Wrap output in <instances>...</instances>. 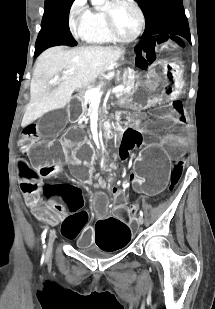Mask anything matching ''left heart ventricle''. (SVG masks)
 I'll return each instance as SVG.
<instances>
[{
	"mask_svg": "<svg viewBox=\"0 0 215 309\" xmlns=\"http://www.w3.org/2000/svg\"><path fill=\"white\" fill-rule=\"evenodd\" d=\"M111 25H115V29H134L133 13L126 7H118L111 10Z\"/></svg>",
	"mask_w": 215,
	"mask_h": 309,
	"instance_id": "left-heart-ventricle-1",
	"label": "left heart ventricle"
}]
</instances>
